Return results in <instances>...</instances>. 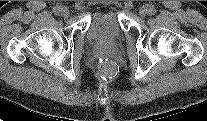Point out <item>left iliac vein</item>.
I'll return each instance as SVG.
<instances>
[{
  "label": "left iliac vein",
  "instance_id": "4c4485c4",
  "mask_svg": "<svg viewBox=\"0 0 207 121\" xmlns=\"http://www.w3.org/2000/svg\"><path fill=\"white\" fill-rule=\"evenodd\" d=\"M148 13H149L148 8L146 6H142L139 9V14H140L141 17H145Z\"/></svg>",
  "mask_w": 207,
  "mask_h": 121
}]
</instances>
